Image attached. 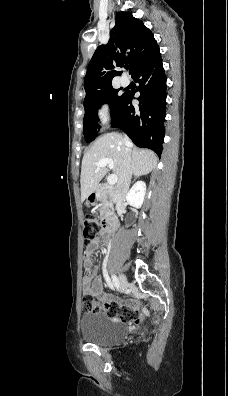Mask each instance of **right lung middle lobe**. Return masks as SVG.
Instances as JSON below:
<instances>
[{"mask_svg":"<svg viewBox=\"0 0 228 396\" xmlns=\"http://www.w3.org/2000/svg\"><path fill=\"white\" fill-rule=\"evenodd\" d=\"M120 89H114L112 86L94 92L84 99V125L83 133L86 142H91L97 136V129L99 128L98 108L103 103H109L112 108V117L117 108L125 97V93L120 94Z\"/></svg>","mask_w":228,"mask_h":396,"instance_id":"obj_1","label":"right lung middle lobe"}]
</instances>
